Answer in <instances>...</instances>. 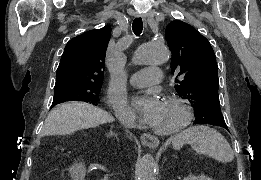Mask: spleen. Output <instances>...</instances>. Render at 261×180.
<instances>
[{"mask_svg":"<svg viewBox=\"0 0 261 180\" xmlns=\"http://www.w3.org/2000/svg\"><path fill=\"white\" fill-rule=\"evenodd\" d=\"M176 140L180 144H191L196 154L209 156L222 164L234 160L233 150L224 136L208 126H191L177 134Z\"/></svg>","mask_w":261,"mask_h":180,"instance_id":"obj_1","label":"spleen"}]
</instances>
